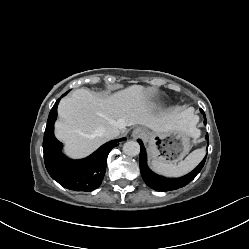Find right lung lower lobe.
<instances>
[{"label":"right lung lower lobe","instance_id":"1","mask_svg":"<svg viewBox=\"0 0 249 249\" xmlns=\"http://www.w3.org/2000/svg\"><path fill=\"white\" fill-rule=\"evenodd\" d=\"M59 101L60 98L50 111L44 134L43 151L46 169L54 180L67 189L92 191L100 186L104 178L109 152L124 138L104 144L85 159L67 158L61 152L62 144L54 136V122L57 118Z\"/></svg>","mask_w":249,"mask_h":249}]
</instances>
